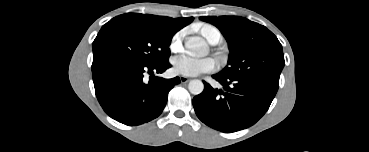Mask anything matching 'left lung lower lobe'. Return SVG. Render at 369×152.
<instances>
[{"label": "left lung lower lobe", "instance_id": "0a47b994", "mask_svg": "<svg viewBox=\"0 0 369 152\" xmlns=\"http://www.w3.org/2000/svg\"><path fill=\"white\" fill-rule=\"evenodd\" d=\"M223 89L204 82V90L193 98L198 118L206 125L231 133L255 124L268 110L279 82L256 77L212 76Z\"/></svg>", "mask_w": 369, "mask_h": 152}]
</instances>
